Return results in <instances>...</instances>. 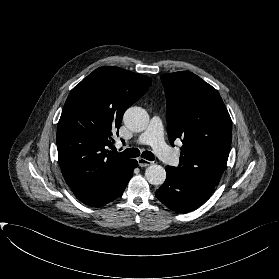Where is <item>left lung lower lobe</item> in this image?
Here are the masks:
<instances>
[{
  "label": "left lung lower lobe",
  "mask_w": 279,
  "mask_h": 279,
  "mask_svg": "<svg viewBox=\"0 0 279 279\" xmlns=\"http://www.w3.org/2000/svg\"><path fill=\"white\" fill-rule=\"evenodd\" d=\"M165 182L156 190V197L168 208L185 213L201 206L214 192L194 180L182 177L174 168H165Z\"/></svg>",
  "instance_id": "0a47b994"
}]
</instances>
